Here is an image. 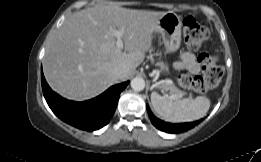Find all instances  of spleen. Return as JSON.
<instances>
[{"mask_svg": "<svg viewBox=\"0 0 261 162\" xmlns=\"http://www.w3.org/2000/svg\"><path fill=\"white\" fill-rule=\"evenodd\" d=\"M151 102L159 116L175 123L198 120L205 116L210 108V100L204 96L180 99L152 92Z\"/></svg>", "mask_w": 261, "mask_h": 162, "instance_id": "3e777b00", "label": "spleen"}]
</instances>
